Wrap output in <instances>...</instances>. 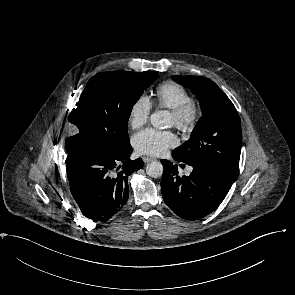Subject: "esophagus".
Returning <instances> with one entry per match:
<instances>
[{
	"label": "esophagus",
	"mask_w": 295,
	"mask_h": 295,
	"mask_svg": "<svg viewBox=\"0 0 295 295\" xmlns=\"http://www.w3.org/2000/svg\"><path fill=\"white\" fill-rule=\"evenodd\" d=\"M142 159L145 163L155 160L153 157H149V156H144Z\"/></svg>",
	"instance_id": "1"
}]
</instances>
